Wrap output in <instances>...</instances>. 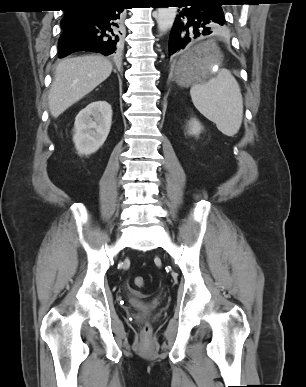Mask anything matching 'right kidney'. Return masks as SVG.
Returning a JSON list of instances; mask_svg holds the SVG:
<instances>
[{"label":"right kidney","mask_w":306,"mask_h":387,"mask_svg":"<svg viewBox=\"0 0 306 387\" xmlns=\"http://www.w3.org/2000/svg\"><path fill=\"white\" fill-rule=\"evenodd\" d=\"M112 108L106 101H95L75 118L73 142L80 155L95 153L105 142L111 128Z\"/></svg>","instance_id":"right-kidney-1"}]
</instances>
